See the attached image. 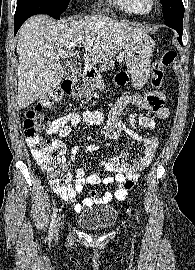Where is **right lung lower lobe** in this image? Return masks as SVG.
I'll list each match as a JSON object with an SVG mask.
<instances>
[{
	"mask_svg": "<svg viewBox=\"0 0 195 270\" xmlns=\"http://www.w3.org/2000/svg\"><path fill=\"white\" fill-rule=\"evenodd\" d=\"M36 14L41 13L31 8H16L14 16V35L17 33V31L19 30L21 25L25 22V20Z\"/></svg>",
	"mask_w": 195,
	"mask_h": 270,
	"instance_id": "right-lung-lower-lobe-1",
	"label": "right lung lower lobe"
}]
</instances>
